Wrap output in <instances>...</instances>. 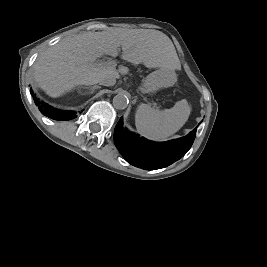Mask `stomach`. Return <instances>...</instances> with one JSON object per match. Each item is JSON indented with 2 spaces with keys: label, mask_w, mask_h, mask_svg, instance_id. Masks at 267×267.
<instances>
[{
  "label": "stomach",
  "mask_w": 267,
  "mask_h": 267,
  "mask_svg": "<svg viewBox=\"0 0 267 267\" xmlns=\"http://www.w3.org/2000/svg\"><path fill=\"white\" fill-rule=\"evenodd\" d=\"M176 81L174 71L160 68L150 73L142 83V88L147 93H154L161 88L172 86Z\"/></svg>",
  "instance_id": "1"
}]
</instances>
